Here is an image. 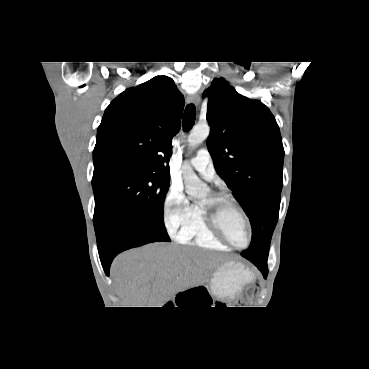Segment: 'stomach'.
I'll return each instance as SVG.
<instances>
[{"instance_id":"stomach-1","label":"stomach","mask_w":369,"mask_h":369,"mask_svg":"<svg viewBox=\"0 0 369 369\" xmlns=\"http://www.w3.org/2000/svg\"><path fill=\"white\" fill-rule=\"evenodd\" d=\"M252 274L239 262H224L214 271L209 289L219 299L232 300L250 281Z\"/></svg>"}]
</instances>
